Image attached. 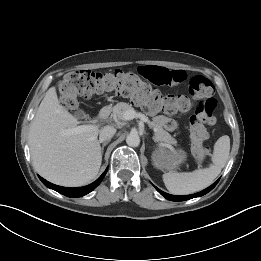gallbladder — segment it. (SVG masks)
Listing matches in <instances>:
<instances>
[{
  "label": "gallbladder",
  "instance_id": "1",
  "mask_svg": "<svg viewBox=\"0 0 261 261\" xmlns=\"http://www.w3.org/2000/svg\"><path fill=\"white\" fill-rule=\"evenodd\" d=\"M76 116L78 117V118H84L85 117V114H84V112L83 111H78L77 113H76Z\"/></svg>",
  "mask_w": 261,
  "mask_h": 261
}]
</instances>
